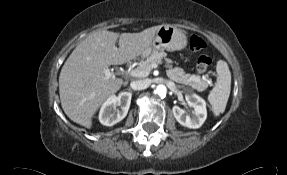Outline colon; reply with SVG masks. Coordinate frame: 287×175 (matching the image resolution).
<instances>
[{"label":"colon","mask_w":287,"mask_h":175,"mask_svg":"<svg viewBox=\"0 0 287 175\" xmlns=\"http://www.w3.org/2000/svg\"><path fill=\"white\" fill-rule=\"evenodd\" d=\"M189 47L192 51L202 52L197 60V71L201 74L206 73L211 65L212 60L206 53L207 44L205 40L200 36L193 35L189 40Z\"/></svg>","instance_id":"1"}]
</instances>
